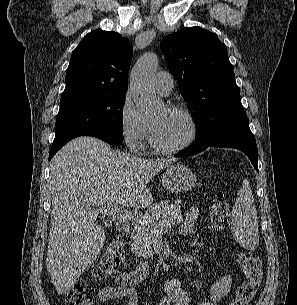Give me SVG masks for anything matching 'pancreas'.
I'll use <instances>...</instances> for the list:
<instances>
[{"mask_svg":"<svg viewBox=\"0 0 297 305\" xmlns=\"http://www.w3.org/2000/svg\"><path fill=\"white\" fill-rule=\"evenodd\" d=\"M180 200L170 203L169 200L153 204L144 214L135 218L132 222V251L144 258H151L152 238L159 228L160 221L167 220L170 224L176 225L183 221L180 209Z\"/></svg>","mask_w":297,"mask_h":305,"instance_id":"obj_1","label":"pancreas"}]
</instances>
